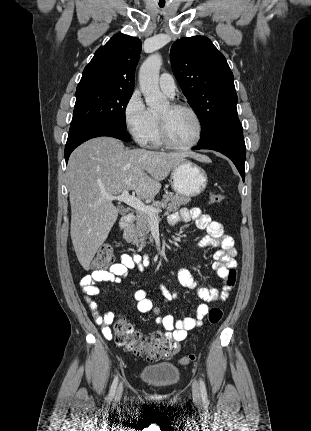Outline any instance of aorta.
Masks as SVG:
<instances>
[{
	"mask_svg": "<svg viewBox=\"0 0 311 431\" xmlns=\"http://www.w3.org/2000/svg\"><path fill=\"white\" fill-rule=\"evenodd\" d=\"M162 66V56L160 54H152L145 62H143L139 70L140 90L145 98V102L149 108L160 110L169 106L166 96L161 94L159 90V72Z\"/></svg>",
	"mask_w": 311,
	"mask_h": 431,
	"instance_id": "obj_1",
	"label": "aorta"
}]
</instances>
